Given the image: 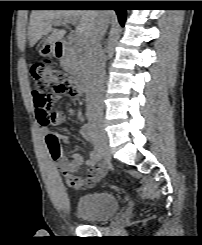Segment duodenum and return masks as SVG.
Listing matches in <instances>:
<instances>
[{
	"instance_id": "duodenum-1",
	"label": "duodenum",
	"mask_w": 202,
	"mask_h": 245,
	"mask_svg": "<svg viewBox=\"0 0 202 245\" xmlns=\"http://www.w3.org/2000/svg\"><path fill=\"white\" fill-rule=\"evenodd\" d=\"M66 43L64 41H57L54 46V55L57 59H62L65 55ZM76 90L81 95L90 94V84L86 77H81L75 82Z\"/></svg>"
}]
</instances>
